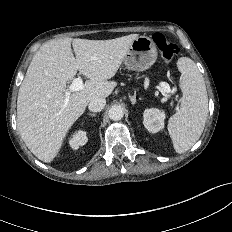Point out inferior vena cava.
Listing matches in <instances>:
<instances>
[{"label":"inferior vena cava","mask_w":232,"mask_h":232,"mask_svg":"<svg viewBox=\"0 0 232 232\" xmlns=\"http://www.w3.org/2000/svg\"><path fill=\"white\" fill-rule=\"evenodd\" d=\"M106 105V100L102 97H96L89 102L88 109L92 112H100Z\"/></svg>","instance_id":"1"}]
</instances>
